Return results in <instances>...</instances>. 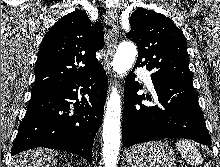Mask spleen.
<instances>
[{
    "label": "spleen",
    "instance_id": "obj_1",
    "mask_svg": "<svg viewBox=\"0 0 220 167\" xmlns=\"http://www.w3.org/2000/svg\"><path fill=\"white\" fill-rule=\"evenodd\" d=\"M177 149L180 151L182 158L192 166L202 164L203 158L198 149L189 140H179L177 142Z\"/></svg>",
    "mask_w": 220,
    "mask_h": 167
}]
</instances>
